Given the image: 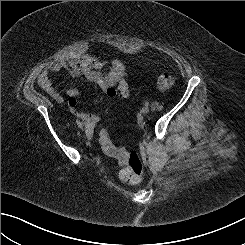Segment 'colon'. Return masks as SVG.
Returning a JSON list of instances; mask_svg holds the SVG:
<instances>
[{"label": "colon", "mask_w": 245, "mask_h": 245, "mask_svg": "<svg viewBox=\"0 0 245 245\" xmlns=\"http://www.w3.org/2000/svg\"><path fill=\"white\" fill-rule=\"evenodd\" d=\"M39 83L43 86L46 83L45 78L40 76ZM157 88L166 91L172 88L174 78L169 73H162L158 76ZM99 142L103 151L117 159L121 169L119 170V178L129 184H137L143 179V164L141 157L136 152H128L122 148H118L111 142L107 130L103 129L99 134Z\"/></svg>", "instance_id": "1"}]
</instances>
